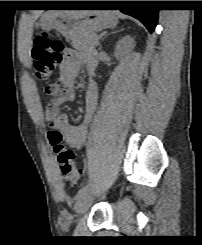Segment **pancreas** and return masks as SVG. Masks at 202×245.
Here are the masks:
<instances>
[{"label":"pancreas","mask_w":202,"mask_h":245,"mask_svg":"<svg viewBox=\"0 0 202 245\" xmlns=\"http://www.w3.org/2000/svg\"><path fill=\"white\" fill-rule=\"evenodd\" d=\"M97 35L94 32H83L72 39L71 45L73 48L86 51L95 48Z\"/></svg>","instance_id":"cf45deb5"}]
</instances>
